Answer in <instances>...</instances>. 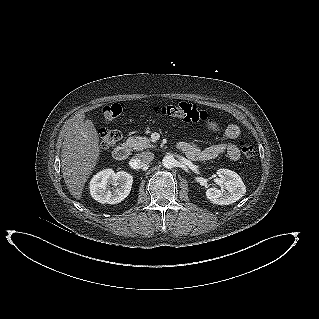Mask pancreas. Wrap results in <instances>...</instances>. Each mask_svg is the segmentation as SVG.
<instances>
[{
	"instance_id": "1",
	"label": "pancreas",
	"mask_w": 319,
	"mask_h": 319,
	"mask_svg": "<svg viewBox=\"0 0 319 319\" xmlns=\"http://www.w3.org/2000/svg\"><path fill=\"white\" fill-rule=\"evenodd\" d=\"M127 142L135 151H140L146 148H153L151 139L147 137L132 136L128 138Z\"/></svg>"
}]
</instances>
